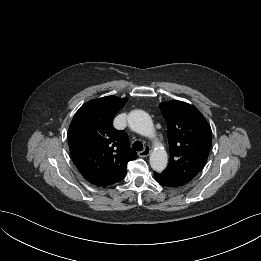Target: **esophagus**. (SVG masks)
Listing matches in <instances>:
<instances>
[{
	"label": "esophagus",
	"mask_w": 261,
	"mask_h": 261,
	"mask_svg": "<svg viewBox=\"0 0 261 261\" xmlns=\"http://www.w3.org/2000/svg\"><path fill=\"white\" fill-rule=\"evenodd\" d=\"M150 152H151V148L149 146H145L144 150H142L138 153V156L147 157V156H149Z\"/></svg>",
	"instance_id": "1"
}]
</instances>
